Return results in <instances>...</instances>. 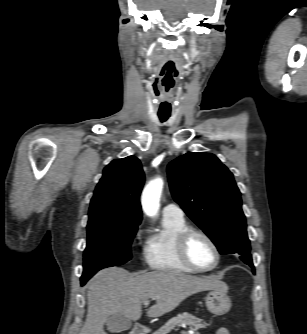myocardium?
Here are the masks:
<instances>
[{
    "label": "myocardium",
    "mask_w": 307,
    "mask_h": 334,
    "mask_svg": "<svg viewBox=\"0 0 307 334\" xmlns=\"http://www.w3.org/2000/svg\"><path fill=\"white\" fill-rule=\"evenodd\" d=\"M194 236L202 237L213 248L216 258H215L214 264L211 267H208V268L199 267L191 259L190 254H189V244H190L191 239ZM176 247H177V252H178V255H179L181 261L186 266H188L189 268H191V269H193L194 271H197V272L213 271L218 267V265L220 263V260H221V252H220V249H219L217 243L214 241V239L210 235H208L206 232H204L202 230H199V229L187 228L184 231H182L177 237Z\"/></svg>",
    "instance_id": "obj_1"
}]
</instances>
